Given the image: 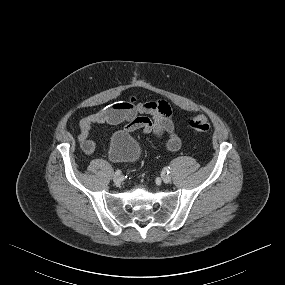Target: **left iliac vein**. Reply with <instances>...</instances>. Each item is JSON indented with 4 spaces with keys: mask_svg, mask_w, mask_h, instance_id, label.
I'll return each mask as SVG.
<instances>
[{
    "mask_svg": "<svg viewBox=\"0 0 285 285\" xmlns=\"http://www.w3.org/2000/svg\"><path fill=\"white\" fill-rule=\"evenodd\" d=\"M162 181H163L164 183H170V182H171V176L168 175V174H164V175L162 176Z\"/></svg>",
    "mask_w": 285,
    "mask_h": 285,
    "instance_id": "obj_1",
    "label": "left iliac vein"
}]
</instances>
